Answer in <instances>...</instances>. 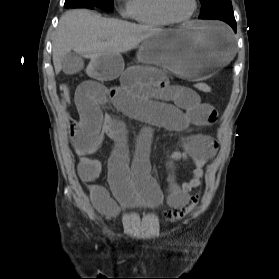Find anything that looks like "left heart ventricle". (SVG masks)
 I'll return each mask as SVG.
<instances>
[{
  "instance_id": "b2bd125f",
  "label": "left heart ventricle",
  "mask_w": 279,
  "mask_h": 279,
  "mask_svg": "<svg viewBox=\"0 0 279 279\" xmlns=\"http://www.w3.org/2000/svg\"><path fill=\"white\" fill-rule=\"evenodd\" d=\"M167 10L176 18L187 16L193 8V0H166Z\"/></svg>"
}]
</instances>
